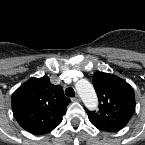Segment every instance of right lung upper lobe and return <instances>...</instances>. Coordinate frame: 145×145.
I'll use <instances>...</instances> for the list:
<instances>
[{
  "label": "right lung upper lobe",
  "mask_w": 145,
  "mask_h": 145,
  "mask_svg": "<svg viewBox=\"0 0 145 145\" xmlns=\"http://www.w3.org/2000/svg\"><path fill=\"white\" fill-rule=\"evenodd\" d=\"M12 110L20 126L41 135L52 131L62 121L70 99L60 85H53L49 77L30 78L12 95Z\"/></svg>",
  "instance_id": "right-lung-upper-lobe-1"
}]
</instances>
